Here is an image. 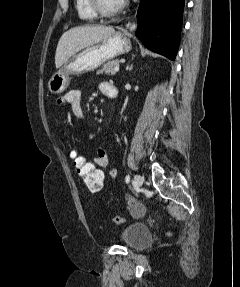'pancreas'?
<instances>
[{"instance_id":"obj_1","label":"pancreas","mask_w":240,"mask_h":287,"mask_svg":"<svg viewBox=\"0 0 240 287\" xmlns=\"http://www.w3.org/2000/svg\"><path fill=\"white\" fill-rule=\"evenodd\" d=\"M119 66V61L118 60H111L104 64L101 69L98 70V74H107V75H114V67Z\"/></svg>"}]
</instances>
